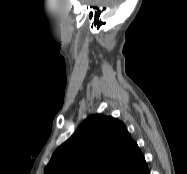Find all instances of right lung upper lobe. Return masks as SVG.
Listing matches in <instances>:
<instances>
[{"mask_svg": "<svg viewBox=\"0 0 187 174\" xmlns=\"http://www.w3.org/2000/svg\"><path fill=\"white\" fill-rule=\"evenodd\" d=\"M147 169L125 125L97 114L58 147L44 174H142Z\"/></svg>", "mask_w": 187, "mask_h": 174, "instance_id": "obj_1", "label": "right lung upper lobe"}]
</instances>
